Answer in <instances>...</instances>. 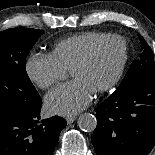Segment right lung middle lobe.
I'll return each instance as SVG.
<instances>
[{"instance_id": "right-lung-middle-lobe-1", "label": "right lung middle lobe", "mask_w": 155, "mask_h": 155, "mask_svg": "<svg viewBox=\"0 0 155 155\" xmlns=\"http://www.w3.org/2000/svg\"><path fill=\"white\" fill-rule=\"evenodd\" d=\"M44 33L31 28L0 32V112H29L40 96L26 73V56Z\"/></svg>"}]
</instances>
